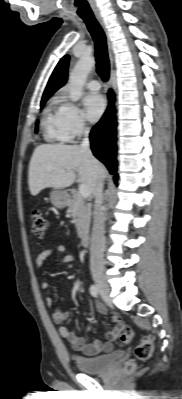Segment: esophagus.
I'll list each match as a JSON object with an SVG mask.
<instances>
[{"instance_id": "1", "label": "esophagus", "mask_w": 182, "mask_h": 399, "mask_svg": "<svg viewBox=\"0 0 182 399\" xmlns=\"http://www.w3.org/2000/svg\"><path fill=\"white\" fill-rule=\"evenodd\" d=\"M95 17H96L97 21L99 22L100 26L102 27L105 35H106L108 56H109L110 68H111L110 78H109L108 84H109V86H111L112 83H113V68H114V55H113V49H112V42H111V40L109 38L108 31H107V29L105 27V24H104L102 16L100 14L96 13Z\"/></svg>"}]
</instances>
